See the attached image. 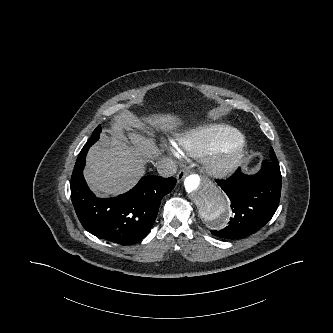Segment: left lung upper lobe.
Returning <instances> with one entry per match:
<instances>
[{
    "label": "left lung upper lobe",
    "mask_w": 333,
    "mask_h": 333,
    "mask_svg": "<svg viewBox=\"0 0 333 333\" xmlns=\"http://www.w3.org/2000/svg\"><path fill=\"white\" fill-rule=\"evenodd\" d=\"M270 157H271V160H272L271 162L278 163V160H277L276 155H275L272 148L270 149Z\"/></svg>",
    "instance_id": "5c2ea615"
}]
</instances>
